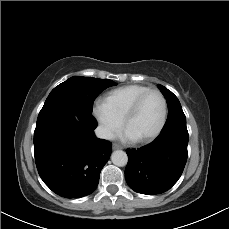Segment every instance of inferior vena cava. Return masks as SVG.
<instances>
[{
    "label": "inferior vena cava",
    "mask_w": 229,
    "mask_h": 229,
    "mask_svg": "<svg viewBox=\"0 0 229 229\" xmlns=\"http://www.w3.org/2000/svg\"><path fill=\"white\" fill-rule=\"evenodd\" d=\"M95 134L98 138L112 140L114 138V134L107 128L103 126H98L95 129Z\"/></svg>",
    "instance_id": "602c4592"
}]
</instances>
